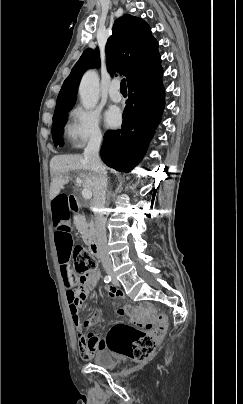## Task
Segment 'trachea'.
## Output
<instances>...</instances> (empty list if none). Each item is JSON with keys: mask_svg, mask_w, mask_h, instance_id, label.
<instances>
[{"mask_svg": "<svg viewBox=\"0 0 243 404\" xmlns=\"http://www.w3.org/2000/svg\"><path fill=\"white\" fill-rule=\"evenodd\" d=\"M126 89H127L126 80H125V78H123V79L121 80V83H120V90H121V91H126Z\"/></svg>", "mask_w": 243, "mask_h": 404, "instance_id": "3493384b", "label": "trachea"}]
</instances>
